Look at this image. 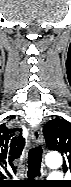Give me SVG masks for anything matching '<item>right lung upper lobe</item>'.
<instances>
[{"label":"right lung upper lobe","instance_id":"1","mask_svg":"<svg viewBox=\"0 0 71 187\" xmlns=\"http://www.w3.org/2000/svg\"><path fill=\"white\" fill-rule=\"evenodd\" d=\"M15 131L16 129H9L5 124L0 125V163L4 174L16 172L13 161L20 157L24 148L25 139L21 135L13 137Z\"/></svg>","mask_w":71,"mask_h":187}]
</instances>
